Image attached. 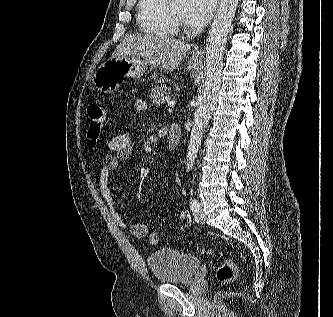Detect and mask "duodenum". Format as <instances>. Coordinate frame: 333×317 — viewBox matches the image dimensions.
Instances as JSON below:
<instances>
[{"instance_id":"duodenum-1","label":"duodenum","mask_w":333,"mask_h":317,"mask_svg":"<svg viewBox=\"0 0 333 317\" xmlns=\"http://www.w3.org/2000/svg\"><path fill=\"white\" fill-rule=\"evenodd\" d=\"M182 129L180 124L171 123L168 128V149L175 151L181 142Z\"/></svg>"}]
</instances>
